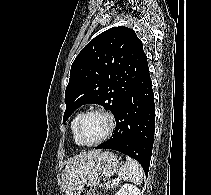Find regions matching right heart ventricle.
Wrapping results in <instances>:
<instances>
[{"label": "right heart ventricle", "instance_id": "1", "mask_svg": "<svg viewBox=\"0 0 211 195\" xmlns=\"http://www.w3.org/2000/svg\"><path fill=\"white\" fill-rule=\"evenodd\" d=\"M80 116V114H77L73 119H72V122H71V130H72V134H73V139L75 141V143L77 145H79V143L77 142L76 138H75V126H76V122H77V119L78 117Z\"/></svg>", "mask_w": 211, "mask_h": 195}]
</instances>
